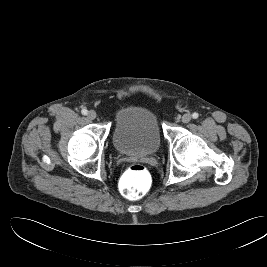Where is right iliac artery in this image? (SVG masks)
I'll return each mask as SVG.
<instances>
[{
	"instance_id": "82829eb1",
	"label": "right iliac artery",
	"mask_w": 267,
	"mask_h": 267,
	"mask_svg": "<svg viewBox=\"0 0 267 267\" xmlns=\"http://www.w3.org/2000/svg\"><path fill=\"white\" fill-rule=\"evenodd\" d=\"M81 113H82L83 115H87L88 111H87V109H82V110H81Z\"/></svg>"
}]
</instances>
